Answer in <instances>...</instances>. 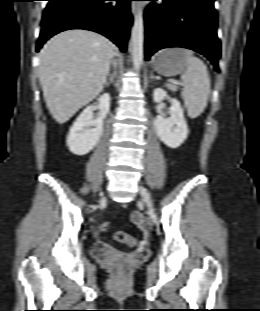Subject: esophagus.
<instances>
[{
    "label": "esophagus",
    "instance_id": "obj_1",
    "mask_svg": "<svg viewBox=\"0 0 260 311\" xmlns=\"http://www.w3.org/2000/svg\"><path fill=\"white\" fill-rule=\"evenodd\" d=\"M131 10H132V13L134 15H136L139 12L138 6L136 4H134V3H132V5H131Z\"/></svg>",
    "mask_w": 260,
    "mask_h": 311
}]
</instances>
